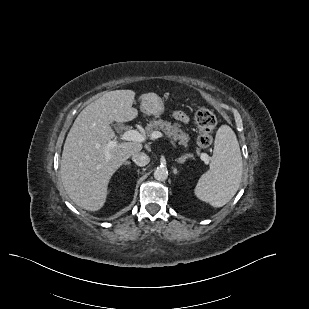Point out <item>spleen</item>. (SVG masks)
Here are the masks:
<instances>
[{"mask_svg": "<svg viewBox=\"0 0 309 309\" xmlns=\"http://www.w3.org/2000/svg\"><path fill=\"white\" fill-rule=\"evenodd\" d=\"M243 173L242 156L234 131L222 125L216 133L209 170L195 187V195L213 207L227 204L239 189Z\"/></svg>", "mask_w": 309, "mask_h": 309, "instance_id": "spleen-1", "label": "spleen"}]
</instances>
